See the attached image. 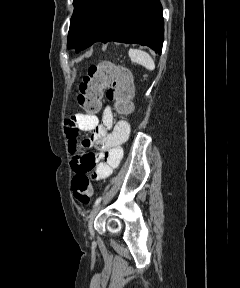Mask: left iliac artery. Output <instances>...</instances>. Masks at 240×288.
<instances>
[{
    "label": "left iliac artery",
    "instance_id": "left-iliac-artery-1",
    "mask_svg": "<svg viewBox=\"0 0 240 288\" xmlns=\"http://www.w3.org/2000/svg\"><path fill=\"white\" fill-rule=\"evenodd\" d=\"M101 199H102V198L99 197V198L95 201V203H94V207L97 206V205L101 202Z\"/></svg>",
    "mask_w": 240,
    "mask_h": 288
}]
</instances>
